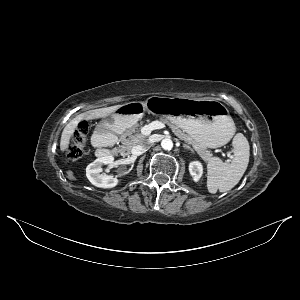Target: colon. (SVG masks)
<instances>
[{"label":"colon","mask_w":300,"mask_h":300,"mask_svg":"<svg viewBox=\"0 0 300 300\" xmlns=\"http://www.w3.org/2000/svg\"><path fill=\"white\" fill-rule=\"evenodd\" d=\"M87 134L88 123L82 121L78 124L77 130L67 147V156L69 159L77 160L82 157L86 148Z\"/></svg>","instance_id":"5ec220e1"}]
</instances>
